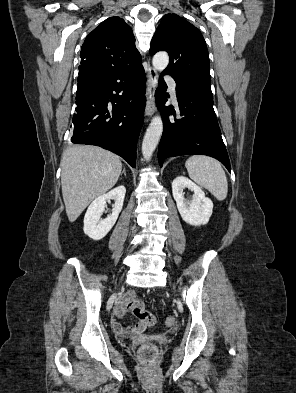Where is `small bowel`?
<instances>
[{
	"mask_svg": "<svg viewBox=\"0 0 296 393\" xmlns=\"http://www.w3.org/2000/svg\"><path fill=\"white\" fill-rule=\"evenodd\" d=\"M136 295L134 292H129L125 294L119 301L116 309H115V316L116 317H121L126 310L122 306V302L124 300H135ZM146 324L144 322H138L134 325H122L118 323L116 320L112 321V327L114 331L119 334V335H128V334H133V335H141L146 329Z\"/></svg>",
	"mask_w": 296,
	"mask_h": 393,
	"instance_id": "c3829d8e",
	"label": "small bowel"
}]
</instances>
